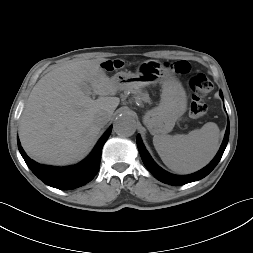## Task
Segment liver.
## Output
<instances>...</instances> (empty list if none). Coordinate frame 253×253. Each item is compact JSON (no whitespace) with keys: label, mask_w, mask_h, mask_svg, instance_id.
Returning a JSON list of instances; mask_svg holds the SVG:
<instances>
[{"label":"liver","mask_w":253,"mask_h":253,"mask_svg":"<svg viewBox=\"0 0 253 253\" xmlns=\"http://www.w3.org/2000/svg\"><path fill=\"white\" fill-rule=\"evenodd\" d=\"M105 58L71 61L43 76L32 89L20 118L19 137L26 153L50 165L82 159L96 142L101 126L95 118L110 117L119 105L117 86L104 73ZM89 84L100 97L85 93Z\"/></svg>","instance_id":"1"}]
</instances>
